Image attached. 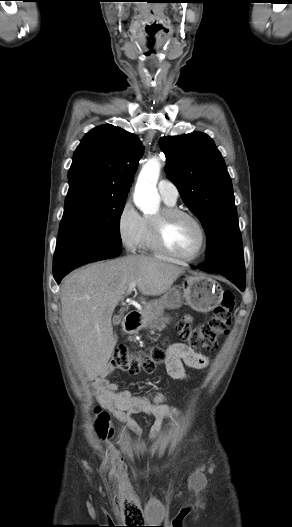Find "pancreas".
Returning <instances> with one entry per match:
<instances>
[{"instance_id":"obj_1","label":"pancreas","mask_w":292,"mask_h":527,"mask_svg":"<svg viewBox=\"0 0 292 527\" xmlns=\"http://www.w3.org/2000/svg\"><path fill=\"white\" fill-rule=\"evenodd\" d=\"M168 322H169V318L168 317H161V318L157 319L152 326H150V329L161 330V329L166 327V323H168Z\"/></svg>"}]
</instances>
